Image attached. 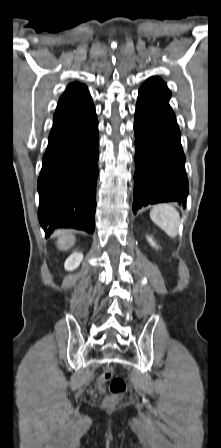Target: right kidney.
I'll return each instance as SVG.
<instances>
[{
	"label": "right kidney",
	"instance_id": "1",
	"mask_svg": "<svg viewBox=\"0 0 221 448\" xmlns=\"http://www.w3.org/2000/svg\"><path fill=\"white\" fill-rule=\"evenodd\" d=\"M83 259V254L75 252L71 254L65 261L64 267L67 271H73L76 269Z\"/></svg>",
	"mask_w": 221,
	"mask_h": 448
}]
</instances>
